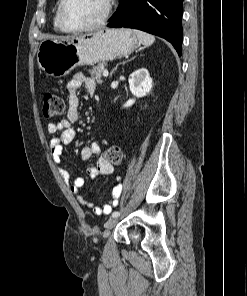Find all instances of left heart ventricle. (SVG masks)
<instances>
[{
	"mask_svg": "<svg viewBox=\"0 0 247 296\" xmlns=\"http://www.w3.org/2000/svg\"><path fill=\"white\" fill-rule=\"evenodd\" d=\"M104 10V0H67L64 18L70 27L79 28L97 22Z\"/></svg>",
	"mask_w": 247,
	"mask_h": 296,
	"instance_id": "1",
	"label": "left heart ventricle"
}]
</instances>
